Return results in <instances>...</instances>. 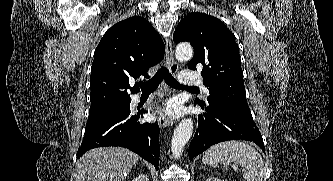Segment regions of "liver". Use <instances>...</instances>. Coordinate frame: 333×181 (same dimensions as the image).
I'll return each mask as SVG.
<instances>
[{
    "instance_id": "obj_1",
    "label": "liver",
    "mask_w": 333,
    "mask_h": 181,
    "mask_svg": "<svg viewBox=\"0 0 333 181\" xmlns=\"http://www.w3.org/2000/svg\"><path fill=\"white\" fill-rule=\"evenodd\" d=\"M139 156L122 147L87 151L76 164V181H124Z\"/></svg>"
}]
</instances>
